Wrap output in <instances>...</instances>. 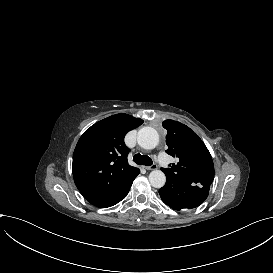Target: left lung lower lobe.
Here are the masks:
<instances>
[{
	"label": "left lung lower lobe",
	"mask_w": 273,
	"mask_h": 273,
	"mask_svg": "<svg viewBox=\"0 0 273 273\" xmlns=\"http://www.w3.org/2000/svg\"><path fill=\"white\" fill-rule=\"evenodd\" d=\"M210 187L188 184L166 176V184L160 188L162 201L175 210L192 209L208 196Z\"/></svg>",
	"instance_id": "left-lung-lower-lobe-1"
}]
</instances>
